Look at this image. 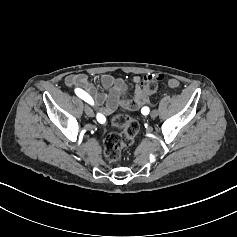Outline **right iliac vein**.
Returning <instances> with one entry per match:
<instances>
[{"mask_svg":"<svg viewBox=\"0 0 237 237\" xmlns=\"http://www.w3.org/2000/svg\"><path fill=\"white\" fill-rule=\"evenodd\" d=\"M84 111H85L87 116H89V117H93L94 116V112H93V110L89 106H85L84 107Z\"/></svg>","mask_w":237,"mask_h":237,"instance_id":"obj_1","label":"right iliac vein"}]
</instances>
